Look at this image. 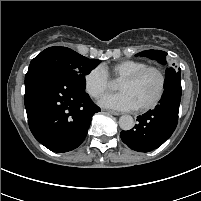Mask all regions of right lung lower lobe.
Returning <instances> with one entry per match:
<instances>
[{"label":"right lung lower lobe","mask_w":201,"mask_h":201,"mask_svg":"<svg viewBox=\"0 0 201 201\" xmlns=\"http://www.w3.org/2000/svg\"><path fill=\"white\" fill-rule=\"evenodd\" d=\"M24 102L33 136L53 152L77 148L100 111L71 77L45 65L28 69Z\"/></svg>","instance_id":"right-lung-lower-lobe-1"}]
</instances>
